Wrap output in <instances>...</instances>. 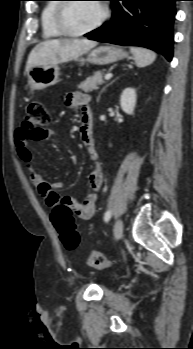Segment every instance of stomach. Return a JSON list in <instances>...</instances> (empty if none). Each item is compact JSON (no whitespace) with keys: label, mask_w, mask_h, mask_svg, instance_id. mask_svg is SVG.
<instances>
[{"label":"stomach","mask_w":193,"mask_h":349,"mask_svg":"<svg viewBox=\"0 0 193 349\" xmlns=\"http://www.w3.org/2000/svg\"><path fill=\"white\" fill-rule=\"evenodd\" d=\"M128 56L122 48L113 45H104L93 49L80 62H89L95 65H107L124 59ZM60 68L57 64L47 66H35L28 72V84L32 94L35 90H42L54 85L59 77Z\"/></svg>","instance_id":"obj_1"}]
</instances>
